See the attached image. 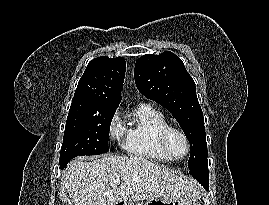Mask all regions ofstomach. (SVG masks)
Masks as SVG:
<instances>
[{
  "mask_svg": "<svg viewBox=\"0 0 269 205\" xmlns=\"http://www.w3.org/2000/svg\"><path fill=\"white\" fill-rule=\"evenodd\" d=\"M117 205H200L195 197L183 198L177 200L161 199V198H149L144 203L134 204L130 201H121Z\"/></svg>",
  "mask_w": 269,
  "mask_h": 205,
  "instance_id": "0dacf381",
  "label": "stomach"
}]
</instances>
